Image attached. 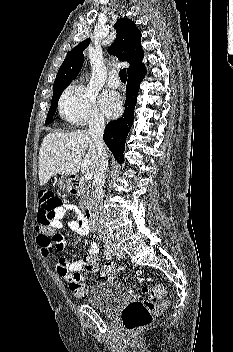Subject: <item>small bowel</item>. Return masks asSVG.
<instances>
[{"label": "small bowel", "mask_w": 233, "mask_h": 352, "mask_svg": "<svg viewBox=\"0 0 233 352\" xmlns=\"http://www.w3.org/2000/svg\"><path fill=\"white\" fill-rule=\"evenodd\" d=\"M38 221L50 222L51 227L54 229H62L63 219L66 211L70 210L77 214L78 219L70 221L69 227L79 235L85 236L89 233L90 228L86 222L85 217L81 214L78 207L71 204H62L61 201L56 197L54 191L51 188L44 187L38 193ZM37 243L40 248L41 254L44 258H51L56 251H60L64 247V242L55 243L46 241L40 237L37 238ZM89 253L97 254L98 246L95 242H87ZM54 266L57 274L68 280L74 274L81 273L84 268V262L81 258L78 261L68 264L62 257H58L54 261ZM86 280V277H84Z\"/></svg>", "instance_id": "1"}]
</instances>
